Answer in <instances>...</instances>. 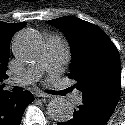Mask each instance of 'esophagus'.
<instances>
[{"mask_svg": "<svg viewBox=\"0 0 125 125\" xmlns=\"http://www.w3.org/2000/svg\"><path fill=\"white\" fill-rule=\"evenodd\" d=\"M35 95H36V97H39V98H52L51 95L44 93V92H37V93H35Z\"/></svg>", "mask_w": 125, "mask_h": 125, "instance_id": "1", "label": "esophagus"}]
</instances>
